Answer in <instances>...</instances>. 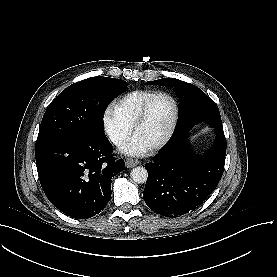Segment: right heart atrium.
I'll list each match as a JSON object with an SVG mask.
<instances>
[{"instance_id": "obj_1", "label": "right heart atrium", "mask_w": 277, "mask_h": 277, "mask_svg": "<svg viewBox=\"0 0 277 277\" xmlns=\"http://www.w3.org/2000/svg\"><path fill=\"white\" fill-rule=\"evenodd\" d=\"M102 127L107 136L114 142H120L129 133L128 124L119 119L111 109L104 111Z\"/></svg>"}]
</instances>
